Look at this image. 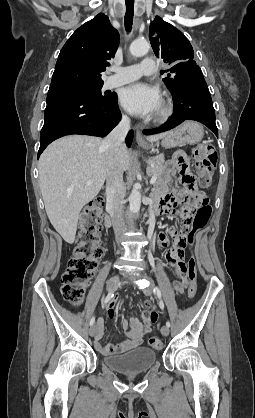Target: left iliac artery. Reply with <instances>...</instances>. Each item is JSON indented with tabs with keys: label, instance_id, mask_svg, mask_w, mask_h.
Segmentation results:
<instances>
[{
	"label": "left iliac artery",
	"instance_id": "left-iliac-artery-1",
	"mask_svg": "<svg viewBox=\"0 0 255 418\" xmlns=\"http://www.w3.org/2000/svg\"><path fill=\"white\" fill-rule=\"evenodd\" d=\"M154 292L158 295L159 298H161V292L158 287H154ZM170 325H171L170 322L167 321L166 326L170 327Z\"/></svg>",
	"mask_w": 255,
	"mask_h": 418
}]
</instances>
